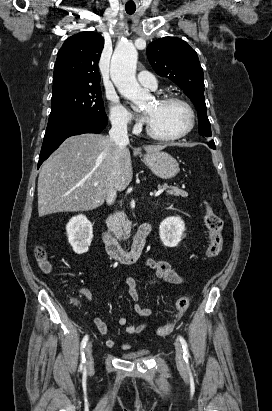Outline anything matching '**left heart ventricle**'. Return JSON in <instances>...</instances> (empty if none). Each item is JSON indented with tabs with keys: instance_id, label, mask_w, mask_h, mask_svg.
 <instances>
[{
	"instance_id": "1",
	"label": "left heart ventricle",
	"mask_w": 272,
	"mask_h": 411,
	"mask_svg": "<svg viewBox=\"0 0 272 411\" xmlns=\"http://www.w3.org/2000/svg\"><path fill=\"white\" fill-rule=\"evenodd\" d=\"M145 111L148 114L149 126L160 135H177L189 124V113L179 103H160L152 100L145 106Z\"/></svg>"
}]
</instances>
